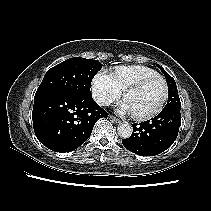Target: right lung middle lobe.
Returning a JSON list of instances; mask_svg holds the SVG:
<instances>
[{
	"instance_id": "right-lung-middle-lobe-1",
	"label": "right lung middle lobe",
	"mask_w": 211,
	"mask_h": 211,
	"mask_svg": "<svg viewBox=\"0 0 211 211\" xmlns=\"http://www.w3.org/2000/svg\"><path fill=\"white\" fill-rule=\"evenodd\" d=\"M101 67L97 60L80 57L67 59L47 71L35 96L56 91L92 95L91 81Z\"/></svg>"
}]
</instances>
